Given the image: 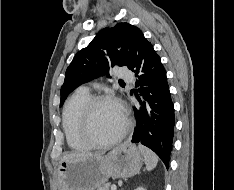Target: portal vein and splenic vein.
Returning a JSON list of instances; mask_svg holds the SVG:
<instances>
[{
	"mask_svg": "<svg viewBox=\"0 0 234 190\" xmlns=\"http://www.w3.org/2000/svg\"><path fill=\"white\" fill-rule=\"evenodd\" d=\"M116 189H117L116 185L111 186V190H116Z\"/></svg>",
	"mask_w": 234,
	"mask_h": 190,
	"instance_id": "18ae733b",
	"label": "portal vein and splenic vein"
}]
</instances>
